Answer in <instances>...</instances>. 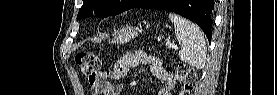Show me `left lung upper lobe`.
I'll use <instances>...</instances> for the list:
<instances>
[{
	"instance_id": "obj_1",
	"label": "left lung upper lobe",
	"mask_w": 277,
	"mask_h": 95,
	"mask_svg": "<svg viewBox=\"0 0 277 95\" xmlns=\"http://www.w3.org/2000/svg\"><path fill=\"white\" fill-rule=\"evenodd\" d=\"M142 0H83V5L79 10L78 19L87 18L94 13L97 17L106 18L120 14L126 10L134 8ZM175 0H160L161 7L172 5Z\"/></svg>"
}]
</instances>
